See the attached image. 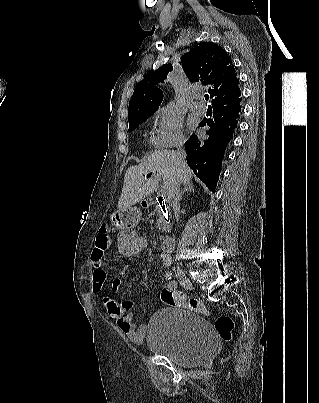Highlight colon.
<instances>
[{
    "instance_id": "1",
    "label": "colon",
    "mask_w": 319,
    "mask_h": 403,
    "mask_svg": "<svg viewBox=\"0 0 319 403\" xmlns=\"http://www.w3.org/2000/svg\"><path fill=\"white\" fill-rule=\"evenodd\" d=\"M138 228L125 229L123 234L115 235V252L121 260H137L138 254H147V241L144 234H137ZM162 301L172 307L185 308L208 315L207 308L197 299H187L186 296L171 288L161 292ZM214 326L220 337L225 341L232 338L233 319L229 315H219Z\"/></svg>"
}]
</instances>
